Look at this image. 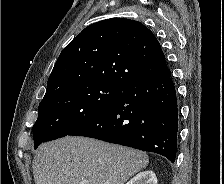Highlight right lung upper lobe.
Returning a JSON list of instances; mask_svg holds the SVG:
<instances>
[{
  "label": "right lung upper lobe",
  "instance_id": "1",
  "mask_svg": "<svg viewBox=\"0 0 224 184\" xmlns=\"http://www.w3.org/2000/svg\"><path fill=\"white\" fill-rule=\"evenodd\" d=\"M168 73L161 46L146 26L130 19H107L86 27L63 49L43 100L79 83L127 86Z\"/></svg>",
  "mask_w": 224,
  "mask_h": 184
}]
</instances>
